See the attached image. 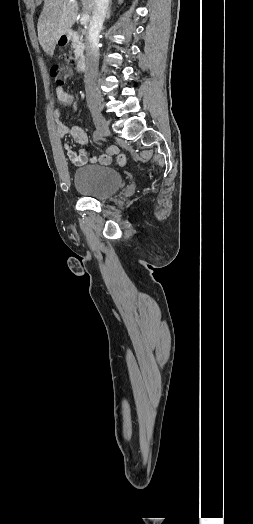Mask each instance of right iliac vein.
<instances>
[{
	"mask_svg": "<svg viewBox=\"0 0 253 524\" xmlns=\"http://www.w3.org/2000/svg\"><path fill=\"white\" fill-rule=\"evenodd\" d=\"M92 117L94 124L98 130V132L102 136H109L110 135V129L109 124L104 118V116L98 111V110H92Z\"/></svg>",
	"mask_w": 253,
	"mask_h": 524,
	"instance_id": "63e3f726",
	"label": "right iliac vein"
}]
</instances>
